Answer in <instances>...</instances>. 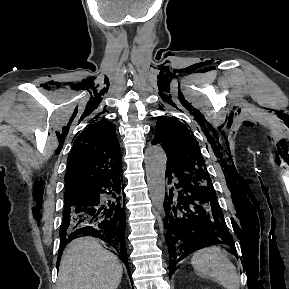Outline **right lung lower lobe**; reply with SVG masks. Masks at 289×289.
<instances>
[{
	"instance_id": "obj_1",
	"label": "right lung lower lobe",
	"mask_w": 289,
	"mask_h": 289,
	"mask_svg": "<svg viewBox=\"0 0 289 289\" xmlns=\"http://www.w3.org/2000/svg\"><path fill=\"white\" fill-rule=\"evenodd\" d=\"M122 174L115 179H104L87 191L65 197L74 198L63 210L61 238L57 264L64 247L77 235L92 236L106 242L128 269L125 245V200H122ZM104 194L108 195L104 197ZM124 196V194H123Z\"/></svg>"
}]
</instances>
